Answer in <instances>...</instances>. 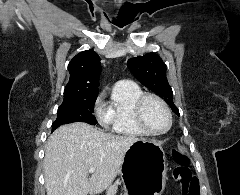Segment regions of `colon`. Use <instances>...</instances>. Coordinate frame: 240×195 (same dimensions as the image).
I'll list each match as a JSON object with an SVG mask.
<instances>
[{
    "label": "colon",
    "instance_id": "obj_1",
    "mask_svg": "<svg viewBox=\"0 0 240 195\" xmlns=\"http://www.w3.org/2000/svg\"><path fill=\"white\" fill-rule=\"evenodd\" d=\"M174 158L177 162L183 164L179 165V169H177L175 173L183 189V195H199V180L192 175L186 167L188 160L185 158L184 154L180 151H175Z\"/></svg>",
    "mask_w": 240,
    "mask_h": 195
}]
</instances>
